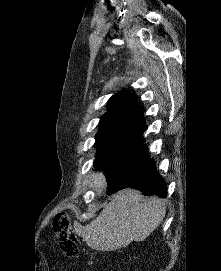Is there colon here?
<instances>
[{"instance_id": "5ec220e1", "label": "colon", "mask_w": 221, "mask_h": 271, "mask_svg": "<svg viewBox=\"0 0 221 271\" xmlns=\"http://www.w3.org/2000/svg\"><path fill=\"white\" fill-rule=\"evenodd\" d=\"M73 221V217L67 212H59L53 219V237L61 250L68 256L79 254V242Z\"/></svg>"}]
</instances>
